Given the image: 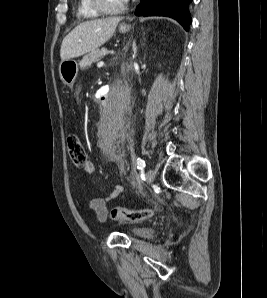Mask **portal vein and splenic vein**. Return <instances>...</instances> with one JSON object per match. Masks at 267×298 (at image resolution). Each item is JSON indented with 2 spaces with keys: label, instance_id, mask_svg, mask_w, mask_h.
<instances>
[{
  "label": "portal vein and splenic vein",
  "instance_id": "1",
  "mask_svg": "<svg viewBox=\"0 0 267 298\" xmlns=\"http://www.w3.org/2000/svg\"><path fill=\"white\" fill-rule=\"evenodd\" d=\"M102 65V62H98L97 66L100 67Z\"/></svg>",
  "mask_w": 267,
  "mask_h": 298
}]
</instances>
